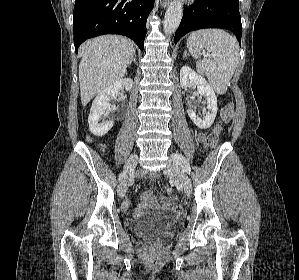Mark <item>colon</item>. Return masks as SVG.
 Returning <instances> with one entry per match:
<instances>
[{"label":"colon","mask_w":299,"mask_h":280,"mask_svg":"<svg viewBox=\"0 0 299 280\" xmlns=\"http://www.w3.org/2000/svg\"><path fill=\"white\" fill-rule=\"evenodd\" d=\"M233 107L232 105H227L221 114V123L228 122L232 115ZM221 123L217 124L215 128L205 137L204 139V148L210 149L214 147L218 141L222 126ZM172 212L174 215L179 216L183 212V208L181 205H176L173 207Z\"/></svg>","instance_id":"5ec220e1"}]
</instances>
